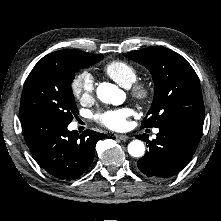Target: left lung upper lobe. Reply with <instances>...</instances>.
Returning a JSON list of instances; mask_svg holds the SVG:
<instances>
[{"label": "left lung upper lobe", "instance_id": "1", "mask_svg": "<svg viewBox=\"0 0 221 221\" xmlns=\"http://www.w3.org/2000/svg\"><path fill=\"white\" fill-rule=\"evenodd\" d=\"M145 66L155 84L154 99L142 127H157L183 117L204 118L199 79L181 55L165 47H148L124 54Z\"/></svg>", "mask_w": 221, "mask_h": 221}]
</instances>
